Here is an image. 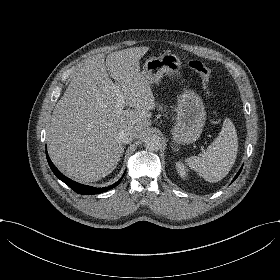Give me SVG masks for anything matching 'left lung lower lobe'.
Returning <instances> with one entry per match:
<instances>
[{"instance_id":"obj_1","label":"left lung lower lobe","mask_w":280,"mask_h":280,"mask_svg":"<svg viewBox=\"0 0 280 280\" xmlns=\"http://www.w3.org/2000/svg\"><path fill=\"white\" fill-rule=\"evenodd\" d=\"M241 170H242V167L240 168L239 172L237 173V175L235 176V178L233 179V181L239 176ZM233 181H232V182H233Z\"/></svg>"}]
</instances>
